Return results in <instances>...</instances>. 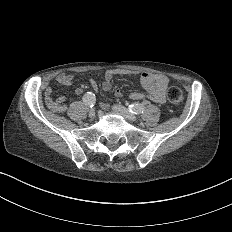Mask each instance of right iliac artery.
I'll return each mask as SVG.
<instances>
[{"mask_svg": "<svg viewBox=\"0 0 232 232\" xmlns=\"http://www.w3.org/2000/svg\"><path fill=\"white\" fill-rule=\"evenodd\" d=\"M85 105L93 107L96 104V96L93 92H87L82 98Z\"/></svg>", "mask_w": 232, "mask_h": 232, "instance_id": "obj_1", "label": "right iliac artery"}]
</instances>
